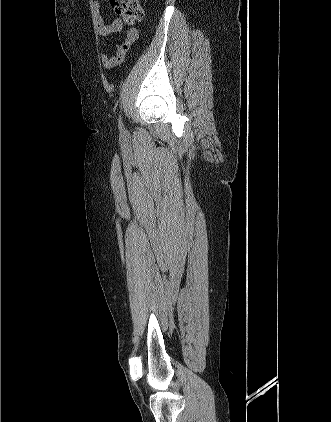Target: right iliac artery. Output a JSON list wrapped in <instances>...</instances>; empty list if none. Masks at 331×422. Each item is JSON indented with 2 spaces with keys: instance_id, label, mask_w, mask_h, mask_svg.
Wrapping results in <instances>:
<instances>
[{
  "instance_id": "right-iliac-artery-1",
  "label": "right iliac artery",
  "mask_w": 331,
  "mask_h": 422,
  "mask_svg": "<svg viewBox=\"0 0 331 422\" xmlns=\"http://www.w3.org/2000/svg\"><path fill=\"white\" fill-rule=\"evenodd\" d=\"M119 128L120 130H123V124H122L121 118L119 119Z\"/></svg>"
}]
</instances>
